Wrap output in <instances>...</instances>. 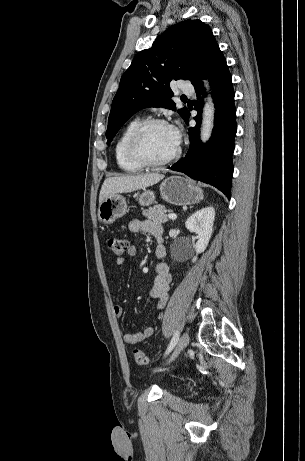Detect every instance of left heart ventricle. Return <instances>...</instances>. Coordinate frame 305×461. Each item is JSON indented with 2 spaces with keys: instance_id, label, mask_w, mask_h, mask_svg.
I'll return each instance as SVG.
<instances>
[{
  "instance_id": "left-heart-ventricle-1",
  "label": "left heart ventricle",
  "mask_w": 305,
  "mask_h": 461,
  "mask_svg": "<svg viewBox=\"0 0 305 461\" xmlns=\"http://www.w3.org/2000/svg\"><path fill=\"white\" fill-rule=\"evenodd\" d=\"M178 145L172 139L169 126L156 125L145 133L141 150L146 158L152 161H160L171 156Z\"/></svg>"
}]
</instances>
